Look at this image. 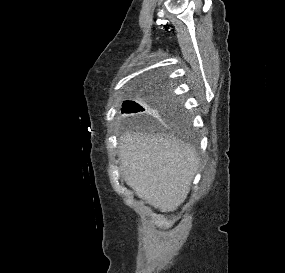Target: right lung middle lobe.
Segmentation results:
<instances>
[{"instance_id":"dd1d6c3e","label":"right lung middle lobe","mask_w":285,"mask_h":273,"mask_svg":"<svg viewBox=\"0 0 285 273\" xmlns=\"http://www.w3.org/2000/svg\"><path fill=\"white\" fill-rule=\"evenodd\" d=\"M139 103L134 101L124 102L122 112L136 113L134 119L145 123L152 119V115L148 113L150 108L161 114L164 123L176 128H184V126H186L187 122L179 113L169 90L159 85V83L154 84V86L142 92ZM143 104L148 105V108L145 109L142 106Z\"/></svg>"}]
</instances>
